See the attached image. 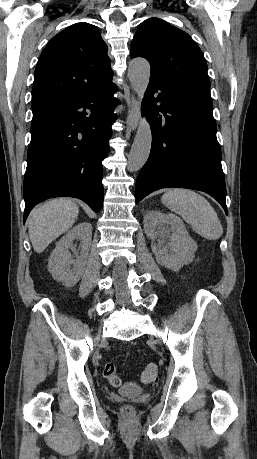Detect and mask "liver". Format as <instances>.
Here are the masks:
<instances>
[{"label":"liver","instance_id":"liver-1","mask_svg":"<svg viewBox=\"0 0 257 459\" xmlns=\"http://www.w3.org/2000/svg\"><path fill=\"white\" fill-rule=\"evenodd\" d=\"M78 213L77 204L66 198L49 200L33 210L28 220V232L35 252L42 253L53 240L71 228Z\"/></svg>","mask_w":257,"mask_h":459}]
</instances>
